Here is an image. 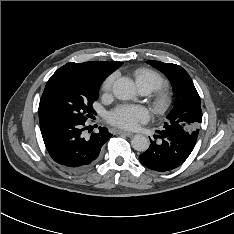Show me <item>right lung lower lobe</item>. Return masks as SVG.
Masks as SVG:
<instances>
[{
    "instance_id": "right-lung-lower-lobe-1",
    "label": "right lung lower lobe",
    "mask_w": 234,
    "mask_h": 234,
    "mask_svg": "<svg viewBox=\"0 0 234 234\" xmlns=\"http://www.w3.org/2000/svg\"><path fill=\"white\" fill-rule=\"evenodd\" d=\"M86 120L51 118L40 122L46 149L52 159L69 170H81L94 163L101 147L112 136L105 127L84 136Z\"/></svg>"
}]
</instances>
